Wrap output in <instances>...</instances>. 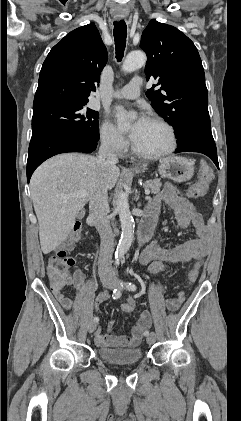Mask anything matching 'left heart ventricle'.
I'll list each match as a JSON object with an SVG mask.
<instances>
[{"mask_svg": "<svg viewBox=\"0 0 241 421\" xmlns=\"http://www.w3.org/2000/svg\"><path fill=\"white\" fill-rule=\"evenodd\" d=\"M133 142L143 152L156 153L168 146L169 134L162 125L147 121Z\"/></svg>", "mask_w": 241, "mask_h": 421, "instance_id": "left-heart-ventricle-1", "label": "left heart ventricle"}]
</instances>
